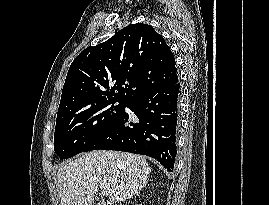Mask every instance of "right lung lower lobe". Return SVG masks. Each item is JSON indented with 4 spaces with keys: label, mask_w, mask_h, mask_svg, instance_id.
I'll list each match as a JSON object with an SVG mask.
<instances>
[{
    "label": "right lung lower lobe",
    "mask_w": 269,
    "mask_h": 205,
    "mask_svg": "<svg viewBox=\"0 0 269 205\" xmlns=\"http://www.w3.org/2000/svg\"><path fill=\"white\" fill-rule=\"evenodd\" d=\"M179 99V83L131 99L126 106L137 122H130L124 110L83 152L105 149L147 155L172 172L177 154Z\"/></svg>",
    "instance_id": "1"
}]
</instances>
